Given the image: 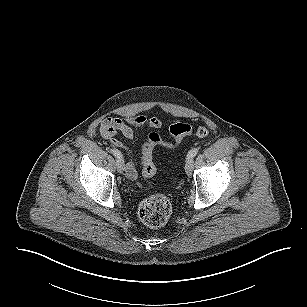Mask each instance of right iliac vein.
Listing matches in <instances>:
<instances>
[{
    "label": "right iliac vein",
    "instance_id": "63e3f726",
    "mask_svg": "<svg viewBox=\"0 0 307 307\" xmlns=\"http://www.w3.org/2000/svg\"><path fill=\"white\" fill-rule=\"evenodd\" d=\"M116 168L119 173H122L125 170V163L122 158L116 160Z\"/></svg>",
    "mask_w": 307,
    "mask_h": 307
}]
</instances>
